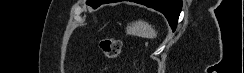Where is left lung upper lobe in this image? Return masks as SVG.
<instances>
[{
  "label": "left lung upper lobe",
  "mask_w": 244,
  "mask_h": 73,
  "mask_svg": "<svg viewBox=\"0 0 244 73\" xmlns=\"http://www.w3.org/2000/svg\"><path fill=\"white\" fill-rule=\"evenodd\" d=\"M101 0H87V4L92 6L93 8H96L101 5Z\"/></svg>",
  "instance_id": "obj_1"
}]
</instances>
